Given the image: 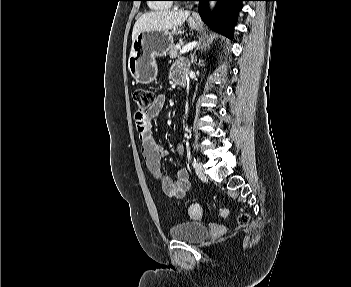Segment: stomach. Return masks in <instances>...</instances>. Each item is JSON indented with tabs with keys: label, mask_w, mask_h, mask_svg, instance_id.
<instances>
[{
	"label": "stomach",
	"mask_w": 351,
	"mask_h": 287,
	"mask_svg": "<svg viewBox=\"0 0 351 287\" xmlns=\"http://www.w3.org/2000/svg\"><path fill=\"white\" fill-rule=\"evenodd\" d=\"M198 20L188 19L191 29L199 27ZM177 33L172 31H142L132 42L128 69L131 76L141 84L152 82L157 76L155 58L165 56L173 46V36Z\"/></svg>",
	"instance_id": "0dacf381"
}]
</instances>
